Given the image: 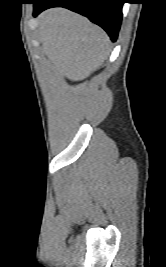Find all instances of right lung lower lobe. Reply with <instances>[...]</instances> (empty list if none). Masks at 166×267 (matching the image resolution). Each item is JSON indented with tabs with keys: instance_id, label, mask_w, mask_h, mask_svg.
Instances as JSON below:
<instances>
[{
	"instance_id": "right-lung-lower-lobe-1",
	"label": "right lung lower lobe",
	"mask_w": 166,
	"mask_h": 267,
	"mask_svg": "<svg viewBox=\"0 0 166 267\" xmlns=\"http://www.w3.org/2000/svg\"><path fill=\"white\" fill-rule=\"evenodd\" d=\"M33 16L51 7H65L88 17L116 41L122 19L124 0H36Z\"/></svg>"
}]
</instances>
